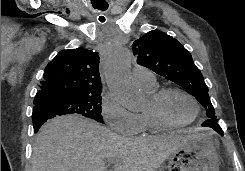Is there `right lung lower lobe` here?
<instances>
[{
    "mask_svg": "<svg viewBox=\"0 0 245 171\" xmlns=\"http://www.w3.org/2000/svg\"><path fill=\"white\" fill-rule=\"evenodd\" d=\"M56 115L52 113L48 108L43 105H36L33 109V126L34 132H37L39 128L45 123L48 119L55 117Z\"/></svg>",
    "mask_w": 245,
    "mask_h": 171,
    "instance_id": "right-lung-lower-lobe-1",
    "label": "right lung lower lobe"
}]
</instances>
